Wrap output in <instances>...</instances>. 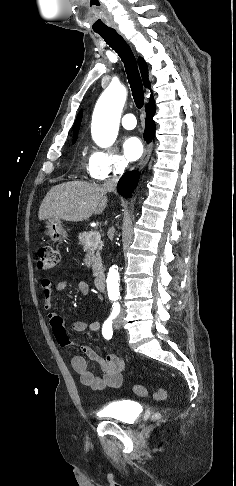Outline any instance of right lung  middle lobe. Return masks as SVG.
<instances>
[{"mask_svg": "<svg viewBox=\"0 0 236 486\" xmlns=\"http://www.w3.org/2000/svg\"><path fill=\"white\" fill-rule=\"evenodd\" d=\"M76 139H77V137H74V138H73V144L75 143Z\"/></svg>", "mask_w": 236, "mask_h": 486, "instance_id": "1", "label": "right lung middle lobe"}]
</instances>
